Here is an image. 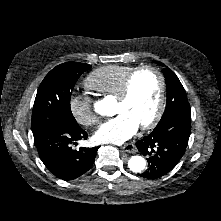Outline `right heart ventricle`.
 <instances>
[{
  "label": "right heart ventricle",
  "instance_id": "right-heart-ventricle-1",
  "mask_svg": "<svg viewBox=\"0 0 221 221\" xmlns=\"http://www.w3.org/2000/svg\"><path fill=\"white\" fill-rule=\"evenodd\" d=\"M134 66L107 65L96 69L85 79L86 89L102 96L117 97Z\"/></svg>",
  "mask_w": 221,
  "mask_h": 221
}]
</instances>
